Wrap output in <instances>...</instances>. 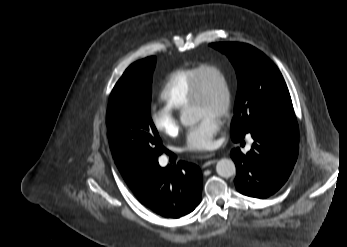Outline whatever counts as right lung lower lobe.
<instances>
[{
  "label": "right lung lower lobe",
  "instance_id": "obj_1",
  "mask_svg": "<svg viewBox=\"0 0 347 247\" xmlns=\"http://www.w3.org/2000/svg\"><path fill=\"white\" fill-rule=\"evenodd\" d=\"M138 200L157 214L179 218L192 212L201 201L202 173L195 164L180 161L177 167L156 162L143 169L129 185Z\"/></svg>",
  "mask_w": 347,
  "mask_h": 247
}]
</instances>
